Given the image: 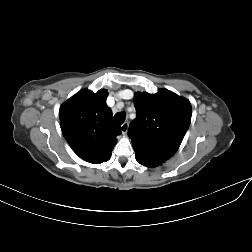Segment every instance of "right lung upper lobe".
Instances as JSON below:
<instances>
[{
  "label": "right lung upper lobe",
  "instance_id": "1",
  "mask_svg": "<svg viewBox=\"0 0 252 252\" xmlns=\"http://www.w3.org/2000/svg\"><path fill=\"white\" fill-rule=\"evenodd\" d=\"M107 90L94 93L84 89L67 100L59 111L64 138L84 161L99 164L109 160L121 134L111 122L112 112L106 104Z\"/></svg>",
  "mask_w": 252,
  "mask_h": 252
}]
</instances>
